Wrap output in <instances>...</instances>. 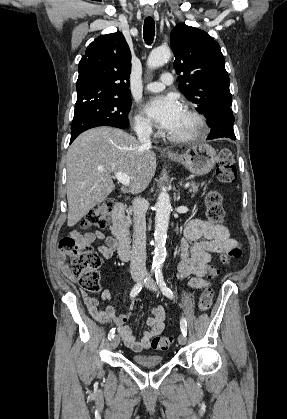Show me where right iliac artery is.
Masks as SVG:
<instances>
[{
	"label": "right iliac artery",
	"mask_w": 287,
	"mask_h": 419,
	"mask_svg": "<svg viewBox=\"0 0 287 419\" xmlns=\"http://www.w3.org/2000/svg\"><path fill=\"white\" fill-rule=\"evenodd\" d=\"M152 271L151 273L143 280L138 282L137 284H135V286L132 288L131 293H130V297L134 298L138 295V293L141 291L143 283H145L147 281V279L152 275ZM114 334H115V328H112L108 334V339L111 340L114 338Z\"/></svg>",
	"instance_id": "right-iliac-artery-1"
}]
</instances>
